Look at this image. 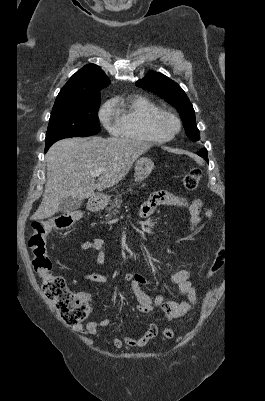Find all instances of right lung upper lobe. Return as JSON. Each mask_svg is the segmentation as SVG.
Here are the masks:
<instances>
[{
	"instance_id": "1",
	"label": "right lung upper lobe",
	"mask_w": 265,
	"mask_h": 401,
	"mask_svg": "<svg viewBox=\"0 0 265 401\" xmlns=\"http://www.w3.org/2000/svg\"><path fill=\"white\" fill-rule=\"evenodd\" d=\"M110 83L101 68L88 64L73 74L59 92L54 106L70 101L101 96L99 91Z\"/></svg>"
}]
</instances>
